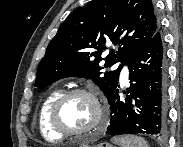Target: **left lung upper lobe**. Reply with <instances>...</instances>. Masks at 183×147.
<instances>
[{
	"instance_id": "1",
	"label": "left lung upper lobe",
	"mask_w": 183,
	"mask_h": 147,
	"mask_svg": "<svg viewBox=\"0 0 183 147\" xmlns=\"http://www.w3.org/2000/svg\"><path fill=\"white\" fill-rule=\"evenodd\" d=\"M158 30L151 0H93L74 10L60 26L39 64L35 86L83 77L92 79L109 98L124 62ZM109 42L117 50L111 49L103 59ZM117 62H121L117 70L103 72Z\"/></svg>"
}]
</instances>
